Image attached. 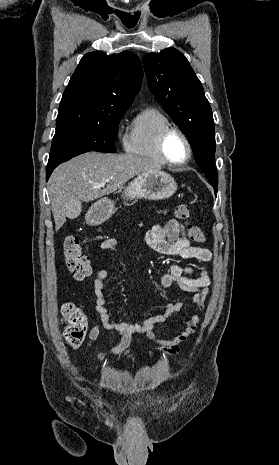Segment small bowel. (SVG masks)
<instances>
[{
	"instance_id": "c3829d8e",
	"label": "small bowel",
	"mask_w": 279,
	"mask_h": 465,
	"mask_svg": "<svg viewBox=\"0 0 279 465\" xmlns=\"http://www.w3.org/2000/svg\"><path fill=\"white\" fill-rule=\"evenodd\" d=\"M147 244L156 252L164 255L179 256L184 259H194L200 262L212 260V252L206 248L194 246L187 236L185 227L175 219L169 220L165 225H154L146 233ZM101 250L112 253L117 248L114 238H107L100 245ZM108 272L99 270L93 278V288L96 296L95 310L100 315L101 324L92 327L89 333L88 346L96 341L100 334L101 326L118 334L119 340L110 353H98L100 361L109 357L131 359L132 354L129 345L132 336L136 333L144 334L150 341L159 345V352L174 354L181 351L182 345L196 332L198 325L203 321L199 315H191L184 319V327L171 339H160L155 334V329L166 323L182 309V302L178 301L167 305L162 314L151 316L142 322L114 321L109 310L105 307L106 296L104 293L105 281ZM211 278L206 270H195L190 267L183 268L173 264L162 276L161 284L164 288L177 285L184 291L193 294L192 301L196 307L203 309L206 304Z\"/></svg>"
}]
</instances>
